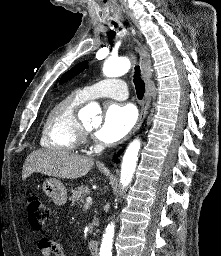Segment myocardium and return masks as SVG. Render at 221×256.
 Instances as JSON below:
<instances>
[{
    "instance_id": "obj_1",
    "label": "myocardium",
    "mask_w": 221,
    "mask_h": 256,
    "mask_svg": "<svg viewBox=\"0 0 221 256\" xmlns=\"http://www.w3.org/2000/svg\"><path fill=\"white\" fill-rule=\"evenodd\" d=\"M87 132V129L82 126V135Z\"/></svg>"
}]
</instances>
